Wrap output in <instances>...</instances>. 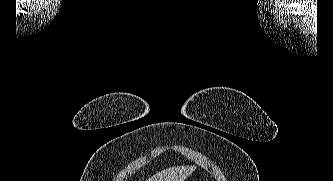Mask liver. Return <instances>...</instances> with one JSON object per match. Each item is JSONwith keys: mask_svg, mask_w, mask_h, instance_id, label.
<instances>
[{"mask_svg": "<svg viewBox=\"0 0 333 181\" xmlns=\"http://www.w3.org/2000/svg\"><path fill=\"white\" fill-rule=\"evenodd\" d=\"M194 170V166H173L158 172L146 181H184Z\"/></svg>", "mask_w": 333, "mask_h": 181, "instance_id": "liver-1", "label": "liver"}]
</instances>
